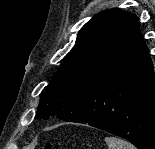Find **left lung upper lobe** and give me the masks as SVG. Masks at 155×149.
<instances>
[{
	"instance_id": "left-lung-upper-lobe-1",
	"label": "left lung upper lobe",
	"mask_w": 155,
	"mask_h": 149,
	"mask_svg": "<svg viewBox=\"0 0 155 149\" xmlns=\"http://www.w3.org/2000/svg\"><path fill=\"white\" fill-rule=\"evenodd\" d=\"M137 25L136 15L120 9L102 11L88 21L56 75L42 91L35 119L56 116L64 120L71 115L114 62Z\"/></svg>"
}]
</instances>
